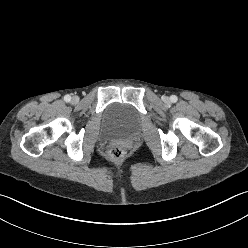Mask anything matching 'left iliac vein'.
<instances>
[{"label":"left iliac vein","instance_id":"obj_1","mask_svg":"<svg viewBox=\"0 0 248 248\" xmlns=\"http://www.w3.org/2000/svg\"><path fill=\"white\" fill-rule=\"evenodd\" d=\"M164 101H165V102H169V98H168V97H165V98H164Z\"/></svg>","mask_w":248,"mask_h":248}]
</instances>
